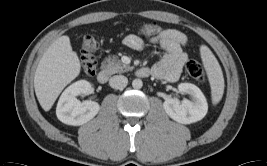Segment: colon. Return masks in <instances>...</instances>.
Here are the masks:
<instances>
[{"mask_svg":"<svg viewBox=\"0 0 267 166\" xmlns=\"http://www.w3.org/2000/svg\"><path fill=\"white\" fill-rule=\"evenodd\" d=\"M161 31L160 26L153 22L141 27V33L144 35H157ZM99 48L98 40L92 35L83 37L81 44L82 69L87 75H93L97 67L96 52ZM187 73L197 81L205 80V72L201 64L195 60H189L186 63Z\"/></svg>","mask_w":267,"mask_h":166,"instance_id":"5ec220e1","label":"colon"}]
</instances>
